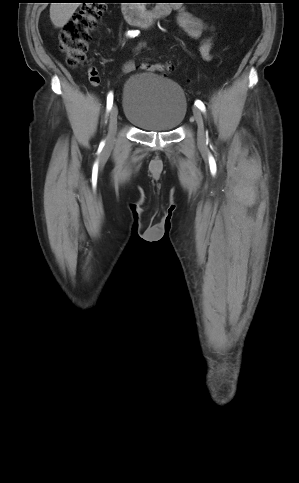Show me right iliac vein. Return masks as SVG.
Returning a JSON list of instances; mask_svg holds the SVG:
<instances>
[{"label": "right iliac vein", "mask_w": 299, "mask_h": 483, "mask_svg": "<svg viewBox=\"0 0 299 483\" xmlns=\"http://www.w3.org/2000/svg\"><path fill=\"white\" fill-rule=\"evenodd\" d=\"M117 117H118V108L116 105H113L111 108L110 117H109V142L113 141V138L116 133Z\"/></svg>", "instance_id": "1"}]
</instances>
